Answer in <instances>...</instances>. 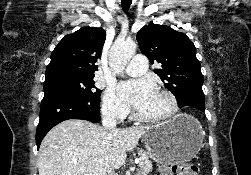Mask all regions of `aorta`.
<instances>
[{"label":"aorta","mask_w":251,"mask_h":175,"mask_svg":"<svg viewBox=\"0 0 251 175\" xmlns=\"http://www.w3.org/2000/svg\"><path fill=\"white\" fill-rule=\"evenodd\" d=\"M136 50L137 44H135V42H119V44H113L109 56V66L112 72L122 74L128 62L135 56Z\"/></svg>","instance_id":"1"}]
</instances>
